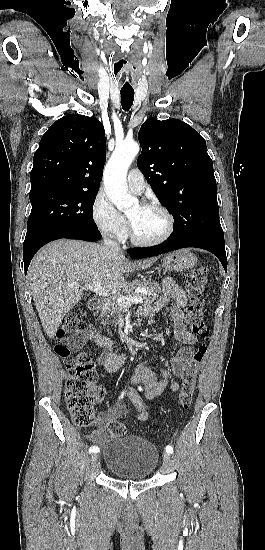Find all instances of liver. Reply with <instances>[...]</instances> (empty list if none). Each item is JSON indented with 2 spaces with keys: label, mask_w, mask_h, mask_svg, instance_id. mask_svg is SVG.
Wrapping results in <instances>:
<instances>
[{
  "label": "liver",
  "mask_w": 265,
  "mask_h": 550,
  "mask_svg": "<svg viewBox=\"0 0 265 550\" xmlns=\"http://www.w3.org/2000/svg\"><path fill=\"white\" fill-rule=\"evenodd\" d=\"M154 262H131L105 245L80 240L60 239L44 246L33 258L27 278L47 336H55L64 316L81 299L80 285L100 281L107 291L120 290L127 286L125 275Z\"/></svg>",
  "instance_id": "liver-1"
}]
</instances>
